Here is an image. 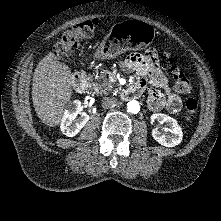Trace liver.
Wrapping results in <instances>:
<instances>
[{"label":"liver","mask_w":221,"mask_h":221,"mask_svg":"<svg viewBox=\"0 0 221 221\" xmlns=\"http://www.w3.org/2000/svg\"><path fill=\"white\" fill-rule=\"evenodd\" d=\"M72 73L68 65L46 55L37 65L32 82L33 107L39 119L50 127L57 126L72 97Z\"/></svg>","instance_id":"1"}]
</instances>
